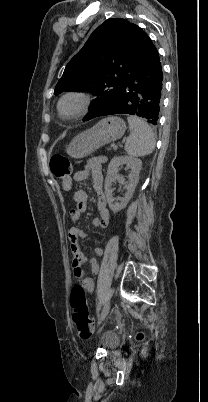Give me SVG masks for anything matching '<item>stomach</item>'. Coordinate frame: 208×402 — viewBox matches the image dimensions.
Segmentation results:
<instances>
[{
    "label": "stomach",
    "mask_w": 208,
    "mask_h": 402,
    "mask_svg": "<svg viewBox=\"0 0 208 402\" xmlns=\"http://www.w3.org/2000/svg\"><path fill=\"white\" fill-rule=\"evenodd\" d=\"M125 130L126 124L121 118H116V116L104 118L90 130L75 136L68 144L66 152L71 158H86L101 146L120 140L125 134Z\"/></svg>",
    "instance_id": "obj_1"
}]
</instances>
